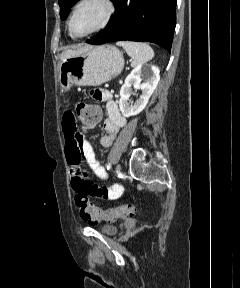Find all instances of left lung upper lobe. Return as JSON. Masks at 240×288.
Here are the masks:
<instances>
[{
    "instance_id": "left-lung-upper-lobe-1",
    "label": "left lung upper lobe",
    "mask_w": 240,
    "mask_h": 288,
    "mask_svg": "<svg viewBox=\"0 0 240 288\" xmlns=\"http://www.w3.org/2000/svg\"><path fill=\"white\" fill-rule=\"evenodd\" d=\"M78 0H59L60 6V17L64 20L69 13L70 8L77 2ZM113 1V0H111Z\"/></svg>"
}]
</instances>
